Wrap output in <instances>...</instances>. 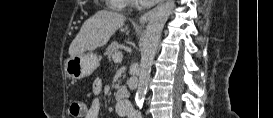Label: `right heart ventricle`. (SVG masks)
Masks as SVG:
<instances>
[{"label": "right heart ventricle", "mask_w": 273, "mask_h": 118, "mask_svg": "<svg viewBox=\"0 0 273 118\" xmlns=\"http://www.w3.org/2000/svg\"><path fill=\"white\" fill-rule=\"evenodd\" d=\"M111 3H112V8H114V9H120L123 6L124 2L111 1Z\"/></svg>", "instance_id": "right-heart-ventricle-1"}]
</instances>
